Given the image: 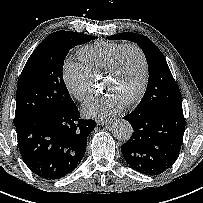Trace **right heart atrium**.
Returning <instances> with one entry per match:
<instances>
[{
    "instance_id": "1",
    "label": "right heart atrium",
    "mask_w": 203,
    "mask_h": 203,
    "mask_svg": "<svg viewBox=\"0 0 203 203\" xmlns=\"http://www.w3.org/2000/svg\"><path fill=\"white\" fill-rule=\"evenodd\" d=\"M62 77L69 93L78 101H85L94 90V78L80 62L66 59Z\"/></svg>"
}]
</instances>
